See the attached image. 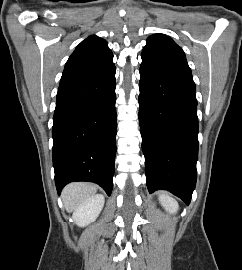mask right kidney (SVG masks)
I'll list each match as a JSON object with an SVG mask.
<instances>
[{
    "mask_svg": "<svg viewBox=\"0 0 242 270\" xmlns=\"http://www.w3.org/2000/svg\"><path fill=\"white\" fill-rule=\"evenodd\" d=\"M103 206L104 197L102 195L89 197L73 213L74 222L80 227L90 224L98 217Z\"/></svg>",
    "mask_w": 242,
    "mask_h": 270,
    "instance_id": "ca27d5eb",
    "label": "right kidney"
}]
</instances>
